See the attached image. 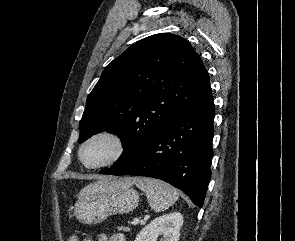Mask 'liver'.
Listing matches in <instances>:
<instances>
[{
    "label": "liver",
    "mask_w": 295,
    "mask_h": 241,
    "mask_svg": "<svg viewBox=\"0 0 295 241\" xmlns=\"http://www.w3.org/2000/svg\"><path fill=\"white\" fill-rule=\"evenodd\" d=\"M104 180H107V179H104ZM134 180H135V179H133V178H126V179H125V182H126V184H128V185H132V184L134 183Z\"/></svg>",
    "instance_id": "liver-1"
}]
</instances>
